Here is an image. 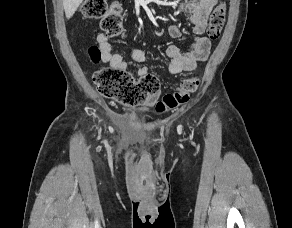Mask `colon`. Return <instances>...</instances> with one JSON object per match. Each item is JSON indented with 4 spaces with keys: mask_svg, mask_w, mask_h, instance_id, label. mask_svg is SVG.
I'll return each instance as SVG.
<instances>
[{
    "mask_svg": "<svg viewBox=\"0 0 292 228\" xmlns=\"http://www.w3.org/2000/svg\"><path fill=\"white\" fill-rule=\"evenodd\" d=\"M226 12L224 3H220L212 11L207 30L212 40L219 38L225 24ZM81 14L86 19H100V26L107 36H119L123 33L124 19L122 8L118 3L108 7L106 0H85ZM88 54L95 63L101 59V51L95 45L89 47ZM93 83L102 96L126 106L143 104L148 98L157 95L160 90V82L155 75L147 74L136 80L127 71L111 67L97 70L93 75ZM197 87L196 78L183 79L177 90L164 95L157 103V111L172 110L187 103Z\"/></svg>",
    "mask_w": 292,
    "mask_h": 228,
    "instance_id": "5ec220e1",
    "label": "colon"
}]
</instances>
